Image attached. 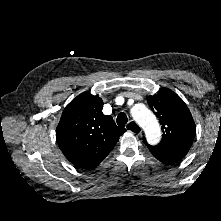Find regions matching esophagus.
Returning <instances> with one entry per match:
<instances>
[{
	"instance_id": "1",
	"label": "esophagus",
	"mask_w": 221,
	"mask_h": 221,
	"mask_svg": "<svg viewBox=\"0 0 221 221\" xmlns=\"http://www.w3.org/2000/svg\"><path fill=\"white\" fill-rule=\"evenodd\" d=\"M126 129L133 133V134H140L142 133V129L140 128V126L137 125L136 122L134 121H130L127 125H126Z\"/></svg>"
}]
</instances>
